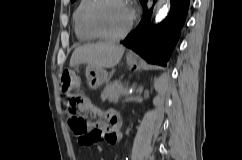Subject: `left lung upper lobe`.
I'll return each instance as SVG.
<instances>
[{"label":"left lung upper lobe","mask_w":242,"mask_h":160,"mask_svg":"<svg viewBox=\"0 0 242 160\" xmlns=\"http://www.w3.org/2000/svg\"><path fill=\"white\" fill-rule=\"evenodd\" d=\"M75 0H71V2H74ZM143 0H140V2H142Z\"/></svg>","instance_id":"1"}]
</instances>
